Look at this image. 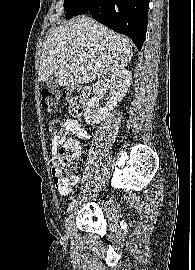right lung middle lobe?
<instances>
[{
    "instance_id": "right-lung-middle-lobe-1",
    "label": "right lung middle lobe",
    "mask_w": 195,
    "mask_h": 270,
    "mask_svg": "<svg viewBox=\"0 0 195 270\" xmlns=\"http://www.w3.org/2000/svg\"><path fill=\"white\" fill-rule=\"evenodd\" d=\"M83 0H64V9L66 11V19L73 16L84 14L87 11V6H83Z\"/></svg>"
}]
</instances>
